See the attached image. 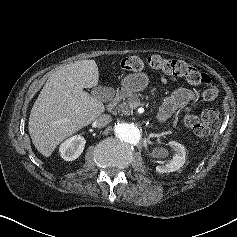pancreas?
Returning <instances> with one entry per match:
<instances>
[{"mask_svg": "<svg viewBox=\"0 0 237 237\" xmlns=\"http://www.w3.org/2000/svg\"><path fill=\"white\" fill-rule=\"evenodd\" d=\"M139 98L137 95H130L126 100L118 105V111L123 114H130L133 109V104L137 103Z\"/></svg>", "mask_w": 237, "mask_h": 237, "instance_id": "obj_1", "label": "pancreas"}]
</instances>
